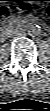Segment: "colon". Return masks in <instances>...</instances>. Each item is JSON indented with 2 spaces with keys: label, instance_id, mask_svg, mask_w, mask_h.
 I'll list each match as a JSON object with an SVG mask.
<instances>
[{
  "label": "colon",
  "instance_id": "colon-1",
  "mask_svg": "<svg viewBox=\"0 0 50 111\" xmlns=\"http://www.w3.org/2000/svg\"><path fill=\"white\" fill-rule=\"evenodd\" d=\"M38 1H41V0H38ZM31 6H32V3L28 2V1H25V2L20 3V4L17 5V6H12V7H9V8H4V9L2 10V14H3V15H6V14H8L9 12H11V11H13V10H15V9L27 10V9H29ZM34 7H35V8H38V9H41L43 6H42L41 4H39V3H37V4L34 5ZM44 10H45V12L48 13V10H50V9H49L48 6H46Z\"/></svg>",
  "mask_w": 50,
  "mask_h": 111
}]
</instances>
